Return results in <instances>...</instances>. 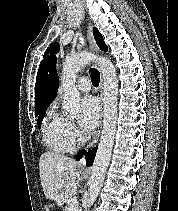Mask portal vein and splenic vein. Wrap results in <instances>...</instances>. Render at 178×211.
I'll return each instance as SVG.
<instances>
[{"instance_id": "1", "label": "portal vein and splenic vein", "mask_w": 178, "mask_h": 211, "mask_svg": "<svg viewBox=\"0 0 178 211\" xmlns=\"http://www.w3.org/2000/svg\"><path fill=\"white\" fill-rule=\"evenodd\" d=\"M57 188H58V189L63 188V184L57 185ZM77 208H78V201H77L76 198H73V199L71 200L70 211H76Z\"/></svg>"}]
</instances>
